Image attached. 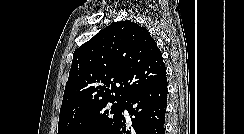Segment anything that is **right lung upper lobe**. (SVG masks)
<instances>
[{
  "instance_id": "right-lung-upper-lobe-1",
  "label": "right lung upper lobe",
  "mask_w": 244,
  "mask_h": 134,
  "mask_svg": "<svg viewBox=\"0 0 244 134\" xmlns=\"http://www.w3.org/2000/svg\"><path fill=\"white\" fill-rule=\"evenodd\" d=\"M165 76L149 31L132 21L115 22L75 50L59 120L104 101L125 100Z\"/></svg>"
}]
</instances>
